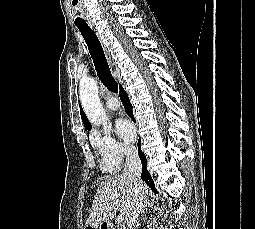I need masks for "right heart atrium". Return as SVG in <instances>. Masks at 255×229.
Listing matches in <instances>:
<instances>
[{"label": "right heart atrium", "instance_id": "obj_1", "mask_svg": "<svg viewBox=\"0 0 255 229\" xmlns=\"http://www.w3.org/2000/svg\"><path fill=\"white\" fill-rule=\"evenodd\" d=\"M92 142L105 171L118 169L124 158L132 156L135 152L132 146L117 140L108 129L94 132Z\"/></svg>", "mask_w": 255, "mask_h": 229}]
</instances>
